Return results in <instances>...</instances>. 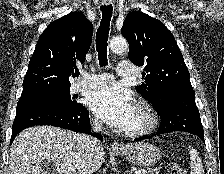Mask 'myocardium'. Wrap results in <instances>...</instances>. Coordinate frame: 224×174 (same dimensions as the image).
<instances>
[{"instance_id":"obj_1","label":"myocardium","mask_w":224,"mask_h":174,"mask_svg":"<svg viewBox=\"0 0 224 174\" xmlns=\"http://www.w3.org/2000/svg\"><path fill=\"white\" fill-rule=\"evenodd\" d=\"M136 108L142 115L143 123L135 129L124 130V134L129 137H138L148 134L155 128L157 122L155 112L150 105L145 102H140Z\"/></svg>"}]
</instances>
